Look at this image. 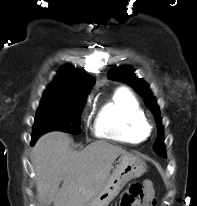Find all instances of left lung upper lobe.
I'll return each mask as SVG.
<instances>
[{
  "mask_svg": "<svg viewBox=\"0 0 197 206\" xmlns=\"http://www.w3.org/2000/svg\"><path fill=\"white\" fill-rule=\"evenodd\" d=\"M107 76L109 79L119 80L130 85L139 94L144 96L145 104L153 112L158 128V137L154 144V150L160 156L165 157V147L163 143V127L159 115V107L156 104L155 98L152 96L148 85L141 79L137 78L134 74V71L128 66H123L118 69L112 70L108 73Z\"/></svg>",
  "mask_w": 197,
  "mask_h": 206,
  "instance_id": "5c2ea615",
  "label": "left lung upper lobe"
}]
</instances>
